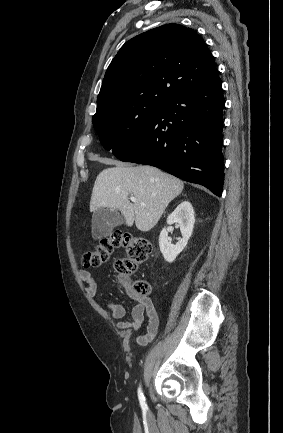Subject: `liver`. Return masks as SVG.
Returning a JSON list of instances; mask_svg holds the SVG:
<instances>
[{
  "label": "liver",
  "mask_w": 283,
  "mask_h": 433,
  "mask_svg": "<svg viewBox=\"0 0 283 433\" xmlns=\"http://www.w3.org/2000/svg\"><path fill=\"white\" fill-rule=\"evenodd\" d=\"M114 164L96 176L90 210H120L127 227L135 223L139 231L146 233L157 225L166 206L182 192L184 184L155 166H131L119 160H114ZM130 194L136 202L129 200Z\"/></svg>",
  "instance_id": "liver-1"
}]
</instances>
